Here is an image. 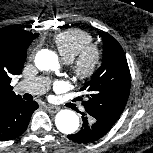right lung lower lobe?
<instances>
[{"label":"right lung lower lobe","instance_id":"obj_1","mask_svg":"<svg viewBox=\"0 0 153 153\" xmlns=\"http://www.w3.org/2000/svg\"><path fill=\"white\" fill-rule=\"evenodd\" d=\"M37 102H26L22 98L14 99L0 108V141L12 140L27 129Z\"/></svg>","mask_w":153,"mask_h":153}]
</instances>
